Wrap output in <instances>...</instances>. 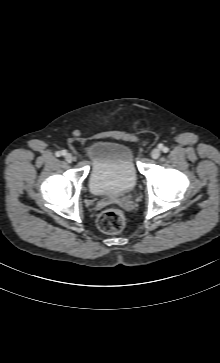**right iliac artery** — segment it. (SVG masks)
<instances>
[{"mask_svg":"<svg viewBox=\"0 0 220 363\" xmlns=\"http://www.w3.org/2000/svg\"><path fill=\"white\" fill-rule=\"evenodd\" d=\"M65 154H66V151H65V150L57 151V152L55 153V155H56L57 157H60L61 155H65Z\"/></svg>","mask_w":220,"mask_h":363,"instance_id":"1","label":"right iliac artery"}]
</instances>
